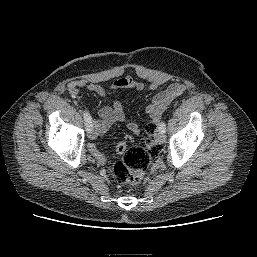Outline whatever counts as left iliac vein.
Segmentation results:
<instances>
[{
	"label": "left iliac vein",
	"mask_w": 257,
	"mask_h": 257,
	"mask_svg": "<svg viewBox=\"0 0 257 257\" xmlns=\"http://www.w3.org/2000/svg\"><path fill=\"white\" fill-rule=\"evenodd\" d=\"M155 138L160 142V143H164L166 141V136L164 134V132H162L160 129L157 131V133L155 134Z\"/></svg>",
	"instance_id": "obj_1"
}]
</instances>
